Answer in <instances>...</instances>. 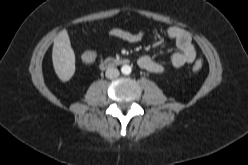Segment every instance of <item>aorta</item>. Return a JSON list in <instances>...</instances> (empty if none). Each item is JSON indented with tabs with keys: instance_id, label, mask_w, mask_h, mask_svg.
I'll list each match as a JSON object with an SVG mask.
<instances>
[{
	"instance_id": "762f6f07",
	"label": "aorta",
	"mask_w": 248,
	"mask_h": 165,
	"mask_svg": "<svg viewBox=\"0 0 248 165\" xmlns=\"http://www.w3.org/2000/svg\"><path fill=\"white\" fill-rule=\"evenodd\" d=\"M121 72L125 75H129L131 73V66L129 65H123L121 67Z\"/></svg>"
}]
</instances>
